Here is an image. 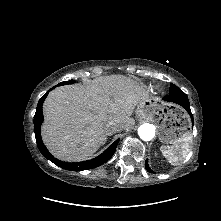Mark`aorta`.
Wrapping results in <instances>:
<instances>
[{"mask_svg": "<svg viewBox=\"0 0 221 221\" xmlns=\"http://www.w3.org/2000/svg\"><path fill=\"white\" fill-rule=\"evenodd\" d=\"M138 135L144 141H150L155 136V126L149 123L142 124L138 128Z\"/></svg>", "mask_w": 221, "mask_h": 221, "instance_id": "1", "label": "aorta"}]
</instances>
